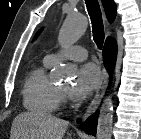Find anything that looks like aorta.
<instances>
[{
  "instance_id": "obj_1",
  "label": "aorta",
  "mask_w": 141,
  "mask_h": 139,
  "mask_svg": "<svg viewBox=\"0 0 141 139\" xmlns=\"http://www.w3.org/2000/svg\"><path fill=\"white\" fill-rule=\"evenodd\" d=\"M88 26L87 19L76 12L67 15L61 26L58 41L62 46H70L76 43L85 33ZM73 72L63 68L59 72L60 77H71ZM113 124V101L112 96H107L100 109L97 123V139H111Z\"/></svg>"
}]
</instances>
